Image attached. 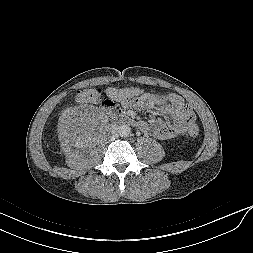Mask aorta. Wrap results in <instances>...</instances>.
I'll list each match as a JSON object with an SVG mask.
<instances>
[{
	"instance_id": "aorta-1",
	"label": "aorta",
	"mask_w": 253,
	"mask_h": 253,
	"mask_svg": "<svg viewBox=\"0 0 253 253\" xmlns=\"http://www.w3.org/2000/svg\"><path fill=\"white\" fill-rule=\"evenodd\" d=\"M116 132L121 137H127L131 133V128L128 125H120L116 128Z\"/></svg>"
}]
</instances>
